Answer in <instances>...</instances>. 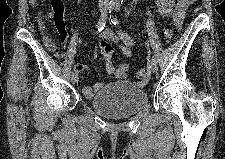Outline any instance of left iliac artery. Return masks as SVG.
<instances>
[{
	"label": "left iliac artery",
	"instance_id": "44dca946",
	"mask_svg": "<svg viewBox=\"0 0 225 159\" xmlns=\"http://www.w3.org/2000/svg\"><path fill=\"white\" fill-rule=\"evenodd\" d=\"M119 11H120V7H114V9L111 13L110 19H111L112 24H114V25L119 24V21H118V18H117V14H118ZM152 61H156L155 56H152Z\"/></svg>",
	"mask_w": 225,
	"mask_h": 159
}]
</instances>
